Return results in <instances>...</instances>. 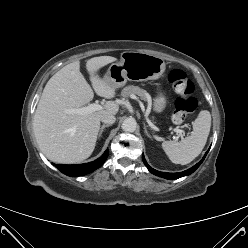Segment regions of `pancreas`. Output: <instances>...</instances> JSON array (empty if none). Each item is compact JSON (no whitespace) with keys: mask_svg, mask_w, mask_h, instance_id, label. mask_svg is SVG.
<instances>
[{"mask_svg":"<svg viewBox=\"0 0 248 248\" xmlns=\"http://www.w3.org/2000/svg\"><path fill=\"white\" fill-rule=\"evenodd\" d=\"M130 94H136L140 96L143 100H151L149 93L138 86H126L121 92V96L123 97V99L128 97Z\"/></svg>","mask_w":248,"mask_h":248,"instance_id":"obj_1","label":"pancreas"}]
</instances>
